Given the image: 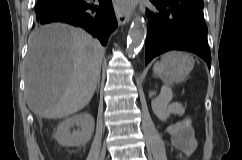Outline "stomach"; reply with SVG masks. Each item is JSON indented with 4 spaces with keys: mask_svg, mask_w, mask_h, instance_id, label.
Instances as JSON below:
<instances>
[{
    "mask_svg": "<svg viewBox=\"0 0 242 160\" xmlns=\"http://www.w3.org/2000/svg\"><path fill=\"white\" fill-rule=\"evenodd\" d=\"M172 56L164 59L165 68L159 73L164 81L180 82L191 71L194 60L185 52H170Z\"/></svg>",
    "mask_w": 242,
    "mask_h": 160,
    "instance_id": "0dacf381",
    "label": "stomach"
}]
</instances>
